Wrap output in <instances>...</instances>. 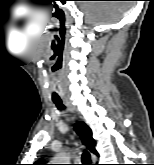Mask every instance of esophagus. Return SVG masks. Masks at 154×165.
Returning a JSON list of instances; mask_svg holds the SVG:
<instances>
[{
	"label": "esophagus",
	"instance_id": "34e87169",
	"mask_svg": "<svg viewBox=\"0 0 154 165\" xmlns=\"http://www.w3.org/2000/svg\"><path fill=\"white\" fill-rule=\"evenodd\" d=\"M64 103H65V105L68 107V109H69L70 111H73L72 106L70 105V103H69L67 100H64Z\"/></svg>",
	"mask_w": 154,
	"mask_h": 165
}]
</instances>
